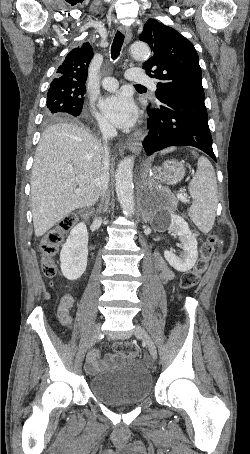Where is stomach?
<instances>
[{"mask_svg": "<svg viewBox=\"0 0 250 454\" xmlns=\"http://www.w3.org/2000/svg\"><path fill=\"white\" fill-rule=\"evenodd\" d=\"M185 170L181 163L177 161H166L163 167L159 169L158 179L167 184H173L181 180Z\"/></svg>", "mask_w": 250, "mask_h": 454, "instance_id": "stomach-1", "label": "stomach"}]
</instances>
